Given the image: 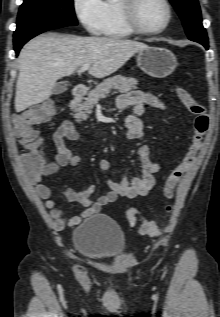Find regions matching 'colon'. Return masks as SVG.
Returning <instances> with one entry per match:
<instances>
[{
  "instance_id": "1",
  "label": "colon",
  "mask_w": 220,
  "mask_h": 317,
  "mask_svg": "<svg viewBox=\"0 0 220 317\" xmlns=\"http://www.w3.org/2000/svg\"><path fill=\"white\" fill-rule=\"evenodd\" d=\"M177 95L189 113L194 116V135L185 156L168 173L165 179L163 194L169 200L174 197L175 188L182 176L196 160L210 125V117L206 108L186 88L177 87ZM53 114V105L50 102H43L16 114L13 118L15 135L28 149V152L24 154L25 162L35 170H40L45 161L38 151L40 137L34 126L50 120ZM166 209L171 212L170 205ZM127 218L130 224L137 225L141 233L149 236H158L164 230V226H159L155 222L146 219L137 208H129L127 210Z\"/></svg>"
}]
</instances>
